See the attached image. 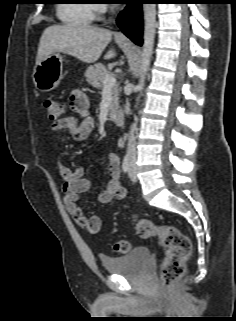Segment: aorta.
<instances>
[{
    "mask_svg": "<svg viewBox=\"0 0 236 321\" xmlns=\"http://www.w3.org/2000/svg\"><path fill=\"white\" fill-rule=\"evenodd\" d=\"M144 37L143 49L140 65V80L137 85L138 91L141 92L147 72L149 70L156 33V4H144Z\"/></svg>",
    "mask_w": 236,
    "mask_h": 321,
    "instance_id": "1",
    "label": "aorta"
}]
</instances>
